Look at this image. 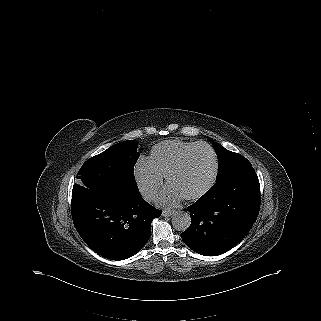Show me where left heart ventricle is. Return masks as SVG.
<instances>
[{
	"mask_svg": "<svg viewBox=\"0 0 321 321\" xmlns=\"http://www.w3.org/2000/svg\"><path fill=\"white\" fill-rule=\"evenodd\" d=\"M213 168L211 152L206 148H199L186 166L171 179L170 185L183 195L192 194L208 183Z\"/></svg>",
	"mask_w": 321,
	"mask_h": 321,
	"instance_id": "1",
	"label": "left heart ventricle"
}]
</instances>
